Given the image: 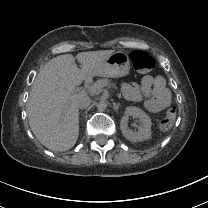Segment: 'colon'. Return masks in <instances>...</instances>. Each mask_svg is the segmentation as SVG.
<instances>
[{
    "instance_id": "5ec220e1",
    "label": "colon",
    "mask_w": 208,
    "mask_h": 208,
    "mask_svg": "<svg viewBox=\"0 0 208 208\" xmlns=\"http://www.w3.org/2000/svg\"><path fill=\"white\" fill-rule=\"evenodd\" d=\"M131 61L133 67L138 72H150L155 64L151 54L144 50L136 49L131 53ZM176 119V111L173 108H168L165 115L159 122V128L163 131L170 130Z\"/></svg>"
}]
</instances>
